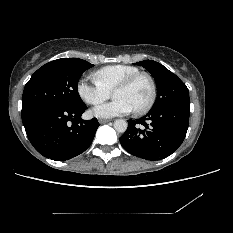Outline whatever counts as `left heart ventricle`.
Masks as SVG:
<instances>
[{
    "mask_svg": "<svg viewBox=\"0 0 233 233\" xmlns=\"http://www.w3.org/2000/svg\"><path fill=\"white\" fill-rule=\"evenodd\" d=\"M150 84L147 79L139 78L128 88L118 90L113 94L114 99H124L133 108H142L150 97Z\"/></svg>",
    "mask_w": 233,
    "mask_h": 233,
    "instance_id": "obj_1",
    "label": "left heart ventricle"
}]
</instances>
